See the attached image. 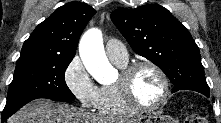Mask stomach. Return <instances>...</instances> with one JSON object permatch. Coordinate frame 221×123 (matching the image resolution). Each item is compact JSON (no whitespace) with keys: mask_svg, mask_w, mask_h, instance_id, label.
I'll use <instances>...</instances> for the list:
<instances>
[{"mask_svg":"<svg viewBox=\"0 0 221 123\" xmlns=\"http://www.w3.org/2000/svg\"><path fill=\"white\" fill-rule=\"evenodd\" d=\"M137 123H177V122L173 118H170L166 114H163V112L158 111L151 115H148L144 119H139Z\"/></svg>","mask_w":221,"mask_h":123,"instance_id":"obj_1","label":"stomach"}]
</instances>
